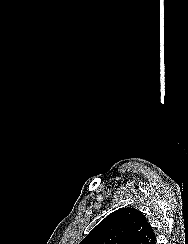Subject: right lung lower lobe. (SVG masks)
<instances>
[{"label": "right lung lower lobe", "instance_id": "1", "mask_svg": "<svg viewBox=\"0 0 188 244\" xmlns=\"http://www.w3.org/2000/svg\"><path fill=\"white\" fill-rule=\"evenodd\" d=\"M156 242H157V240L155 239V240L152 242V244H156Z\"/></svg>", "mask_w": 188, "mask_h": 244}]
</instances>
